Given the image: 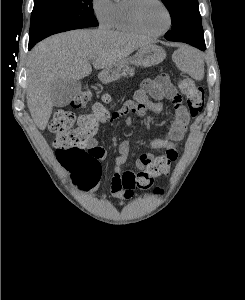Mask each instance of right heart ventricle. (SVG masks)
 Returning <instances> with one entry per match:
<instances>
[{"mask_svg": "<svg viewBox=\"0 0 245 300\" xmlns=\"http://www.w3.org/2000/svg\"><path fill=\"white\" fill-rule=\"evenodd\" d=\"M132 3L133 0L115 1L110 27L122 32L142 34V32L135 26L131 18L130 9Z\"/></svg>", "mask_w": 245, "mask_h": 300, "instance_id": "right-heart-ventricle-1", "label": "right heart ventricle"}]
</instances>
